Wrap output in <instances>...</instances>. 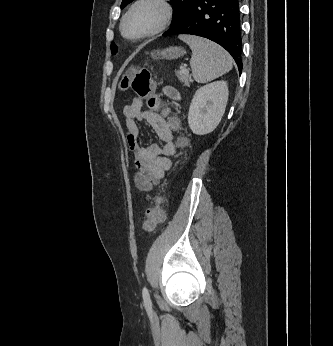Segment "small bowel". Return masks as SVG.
<instances>
[{
    "instance_id": "1",
    "label": "small bowel",
    "mask_w": 333,
    "mask_h": 346,
    "mask_svg": "<svg viewBox=\"0 0 333 346\" xmlns=\"http://www.w3.org/2000/svg\"><path fill=\"white\" fill-rule=\"evenodd\" d=\"M167 96L178 99L177 91L172 87L164 89ZM166 110L157 113L143 107L139 98L124 107L126 118L127 140L134 153L137 172L135 185L138 190L149 192L157 185L172 166L171 157L176 153L173 130L176 124L168 121ZM138 122H146L163 142L161 145H144L139 142L142 137Z\"/></svg>"
}]
</instances>
